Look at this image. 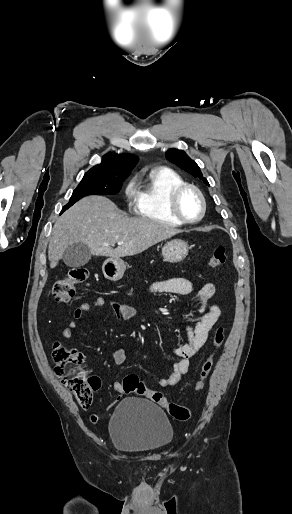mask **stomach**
Instances as JSON below:
<instances>
[{
  "label": "stomach",
  "mask_w": 292,
  "mask_h": 514,
  "mask_svg": "<svg viewBox=\"0 0 292 514\" xmlns=\"http://www.w3.org/2000/svg\"><path fill=\"white\" fill-rule=\"evenodd\" d=\"M162 256L164 262H171V264L182 262V260L188 256L187 242H183V240H171V242H167L162 248ZM125 270V262L120 260V258H108L102 266V272L105 278L111 280V282L121 280Z\"/></svg>",
  "instance_id": "obj_1"
}]
</instances>
